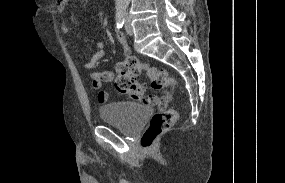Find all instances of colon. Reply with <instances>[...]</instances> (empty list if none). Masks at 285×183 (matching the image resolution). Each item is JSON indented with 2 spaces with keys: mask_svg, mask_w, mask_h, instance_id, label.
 I'll return each mask as SVG.
<instances>
[{
  "mask_svg": "<svg viewBox=\"0 0 285 183\" xmlns=\"http://www.w3.org/2000/svg\"><path fill=\"white\" fill-rule=\"evenodd\" d=\"M64 1L65 0H60V2ZM115 70L117 73L115 87L120 93L133 99H143L144 102L149 104L158 103L162 108L161 111L153 115L148 128L141 138L142 147L146 150H151L156 139L177 122L178 113L173 109H165L167 106V98H143L145 89L137 82L136 77L143 73L146 74L154 89H160L166 86L174 87L175 81L169 76L166 70L141 62L134 56H129L124 61L118 62L115 65Z\"/></svg>",
  "mask_w": 285,
  "mask_h": 183,
  "instance_id": "obj_1",
  "label": "colon"
}]
</instances>
